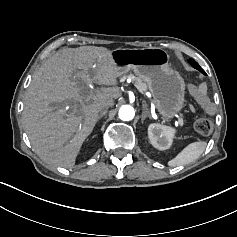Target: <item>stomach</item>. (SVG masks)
Returning a JSON list of instances; mask_svg holds the SVG:
<instances>
[{"label": "stomach", "instance_id": "0dacf381", "mask_svg": "<svg viewBox=\"0 0 237 237\" xmlns=\"http://www.w3.org/2000/svg\"><path fill=\"white\" fill-rule=\"evenodd\" d=\"M112 58L118 75L132 70L146 84L159 115L172 120L185 106V81L180 73L169 68V55L159 47L117 49Z\"/></svg>", "mask_w": 237, "mask_h": 237}]
</instances>
